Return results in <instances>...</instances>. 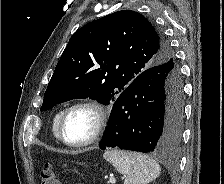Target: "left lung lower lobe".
I'll return each instance as SVG.
<instances>
[{"label": "left lung lower lobe", "mask_w": 224, "mask_h": 184, "mask_svg": "<svg viewBox=\"0 0 224 184\" xmlns=\"http://www.w3.org/2000/svg\"><path fill=\"white\" fill-rule=\"evenodd\" d=\"M172 61L139 74L116 98L102 150L168 153L179 147L183 127V82Z\"/></svg>", "instance_id": "obj_1"}]
</instances>
